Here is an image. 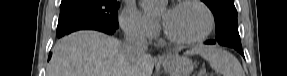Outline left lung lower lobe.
Returning <instances> with one entry per match:
<instances>
[{
	"label": "left lung lower lobe",
	"mask_w": 287,
	"mask_h": 76,
	"mask_svg": "<svg viewBox=\"0 0 287 76\" xmlns=\"http://www.w3.org/2000/svg\"><path fill=\"white\" fill-rule=\"evenodd\" d=\"M205 43H206V44H215L216 41L209 40V41H207V42H205ZM228 47L234 48V49L237 50L241 55L244 56L243 51H242V46L233 45V46H228Z\"/></svg>",
	"instance_id": "obj_1"
}]
</instances>
